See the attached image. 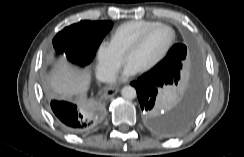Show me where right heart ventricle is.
Wrapping results in <instances>:
<instances>
[{"label": "right heart ventricle", "mask_w": 244, "mask_h": 157, "mask_svg": "<svg viewBox=\"0 0 244 157\" xmlns=\"http://www.w3.org/2000/svg\"><path fill=\"white\" fill-rule=\"evenodd\" d=\"M151 20H131L119 25L111 35V43L124 55L130 44L147 28L157 24Z\"/></svg>", "instance_id": "obj_1"}]
</instances>
